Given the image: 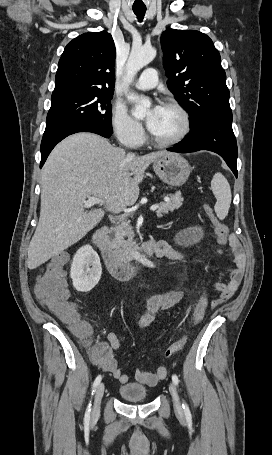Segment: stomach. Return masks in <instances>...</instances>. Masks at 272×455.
Instances as JSON below:
<instances>
[{
  "label": "stomach",
  "mask_w": 272,
  "mask_h": 455,
  "mask_svg": "<svg viewBox=\"0 0 272 455\" xmlns=\"http://www.w3.org/2000/svg\"><path fill=\"white\" fill-rule=\"evenodd\" d=\"M153 169L158 177L171 186H182L191 172L188 161L179 154H168L153 162Z\"/></svg>",
  "instance_id": "1"
}]
</instances>
